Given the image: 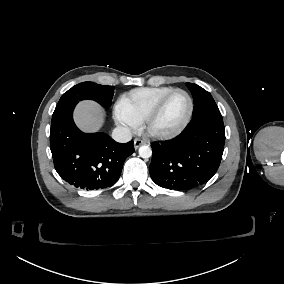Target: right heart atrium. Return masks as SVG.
<instances>
[{
	"instance_id": "obj_1",
	"label": "right heart atrium",
	"mask_w": 284,
	"mask_h": 284,
	"mask_svg": "<svg viewBox=\"0 0 284 284\" xmlns=\"http://www.w3.org/2000/svg\"><path fill=\"white\" fill-rule=\"evenodd\" d=\"M117 117V120H118V124H119V127L127 132V133H132L135 129V126L133 123H131L130 121H128L127 119H125L124 117L118 115L116 116Z\"/></svg>"
}]
</instances>
